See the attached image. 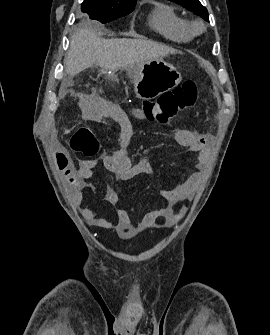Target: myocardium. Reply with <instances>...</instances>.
<instances>
[{
    "mask_svg": "<svg viewBox=\"0 0 270 335\" xmlns=\"http://www.w3.org/2000/svg\"><path fill=\"white\" fill-rule=\"evenodd\" d=\"M192 28L196 31V32H199L202 30V25L199 23V22H194L192 24Z\"/></svg>",
    "mask_w": 270,
    "mask_h": 335,
    "instance_id": "1",
    "label": "myocardium"
}]
</instances>
